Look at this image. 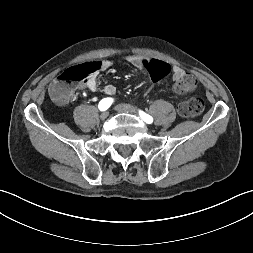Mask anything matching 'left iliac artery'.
<instances>
[{
  "label": "left iliac artery",
  "mask_w": 253,
  "mask_h": 253,
  "mask_svg": "<svg viewBox=\"0 0 253 253\" xmlns=\"http://www.w3.org/2000/svg\"><path fill=\"white\" fill-rule=\"evenodd\" d=\"M139 114L146 123L150 124L153 122V118L150 115L146 114L145 112L140 110Z\"/></svg>",
  "instance_id": "44dca946"
}]
</instances>
